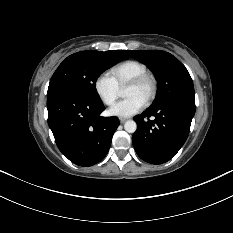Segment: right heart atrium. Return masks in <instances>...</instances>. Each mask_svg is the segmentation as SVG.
<instances>
[{"mask_svg": "<svg viewBox=\"0 0 233 233\" xmlns=\"http://www.w3.org/2000/svg\"><path fill=\"white\" fill-rule=\"evenodd\" d=\"M95 93L105 105H112L119 97L120 89L113 78L102 73L98 75L93 83Z\"/></svg>", "mask_w": 233, "mask_h": 233, "instance_id": "1", "label": "right heart atrium"}]
</instances>
